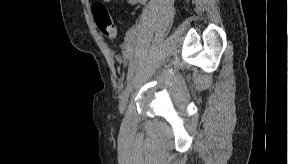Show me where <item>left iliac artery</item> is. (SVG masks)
I'll list each match as a JSON object with an SVG mask.
<instances>
[{
  "instance_id": "1",
  "label": "left iliac artery",
  "mask_w": 288,
  "mask_h": 164,
  "mask_svg": "<svg viewBox=\"0 0 288 164\" xmlns=\"http://www.w3.org/2000/svg\"><path fill=\"white\" fill-rule=\"evenodd\" d=\"M133 70H129L128 74H127V81L131 80V78L133 77Z\"/></svg>"
}]
</instances>
